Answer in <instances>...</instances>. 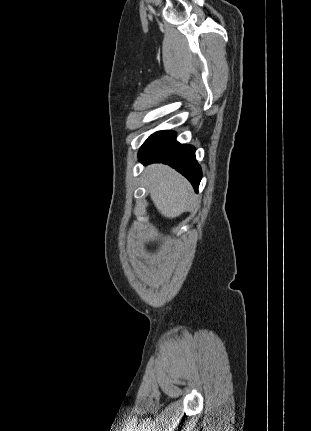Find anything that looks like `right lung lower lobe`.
Wrapping results in <instances>:
<instances>
[{"instance_id":"right-lung-lower-lobe-1","label":"right lung lower lobe","mask_w":311,"mask_h":431,"mask_svg":"<svg viewBox=\"0 0 311 431\" xmlns=\"http://www.w3.org/2000/svg\"><path fill=\"white\" fill-rule=\"evenodd\" d=\"M139 160L144 164L162 162L184 175L197 192L202 171L195 157V148L176 141L173 131H159L151 135L140 148Z\"/></svg>"}]
</instances>
